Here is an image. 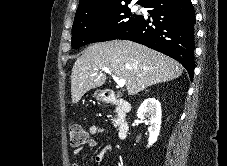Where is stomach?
Returning a JSON list of instances; mask_svg holds the SVG:
<instances>
[{"label":"stomach","mask_w":227,"mask_h":166,"mask_svg":"<svg viewBox=\"0 0 227 166\" xmlns=\"http://www.w3.org/2000/svg\"><path fill=\"white\" fill-rule=\"evenodd\" d=\"M94 98L97 101H103L104 100V92L102 90H97L94 93Z\"/></svg>","instance_id":"0dacf381"}]
</instances>
